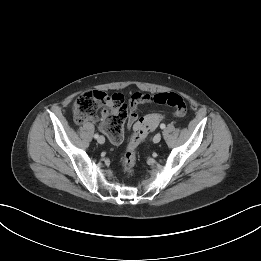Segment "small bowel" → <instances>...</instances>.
<instances>
[{
  "label": "small bowel",
  "mask_w": 261,
  "mask_h": 261,
  "mask_svg": "<svg viewBox=\"0 0 261 261\" xmlns=\"http://www.w3.org/2000/svg\"><path fill=\"white\" fill-rule=\"evenodd\" d=\"M116 95H118L121 99H123V96L121 94H116ZM154 97L155 96L153 95L147 93H139V92H136L131 96L127 123H126L128 129L132 128L138 120L139 106L142 104H148L153 102Z\"/></svg>",
  "instance_id": "small-bowel-1"
}]
</instances>
